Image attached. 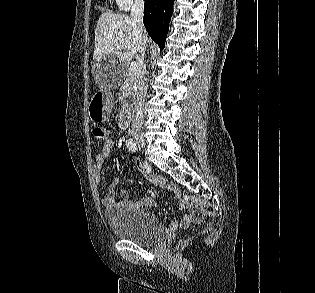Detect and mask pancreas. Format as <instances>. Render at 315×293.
<instances>
[{"instance_id": "pancreas-1", "label": "pancreas", "mask_w": 315, "mask_h": 293, "mask_svg": "<svg viewBox=\"0 0 315 293\" xmlns=\"http://www.w3.org/2000/svg\"><path fill=\"white\" fill-rule=\"evenodd\" d=\"M135 82H136V73L128 72L126 74V79L123 85L120 88L119 95L122 98L123 111L127 112L131 109L132 104L127 103L128 98H134L135 96Z\"/></svg>"}]
</instances>
